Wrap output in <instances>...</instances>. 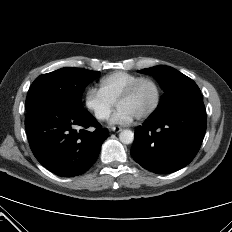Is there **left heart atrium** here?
<instances>
[{
    "instance_id": "39dd6f15",
    "label": "left heart atrium",
    "mask_w": 232,
    "mask_h": 232,
    "mask_svg": "<svg viewBox=\"0 0 232 232\" xmlns=\"http://www.w3.org/2000/svg\"><path fill=\"white\" fill-rule=\"evenodd\" d=\"M136 117L128 110L118 107L110 119L112 125H128L133 122Z\"/></svg>"
}]
</instances>
